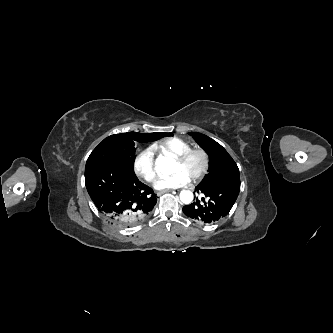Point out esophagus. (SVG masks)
<instances>
[{"mask_svg":"<svg viewBox=\"0 0 333 333\" xmlns=\"http://www.w3.org/2000/svg\"><path fill=\"white\" fill-rule=\"evenodd\" d=\"M172 191H173V190H171V189L162 190V191L157 192V195L160 196V195H162V194H164V193L172 192Z\"/></svg>","mask_w":333,"mask_h":333,"instance_id":"obj_1","label":"esophagus"}]
</instances>
